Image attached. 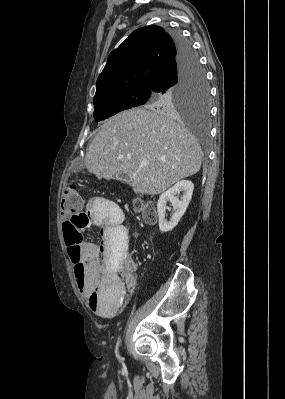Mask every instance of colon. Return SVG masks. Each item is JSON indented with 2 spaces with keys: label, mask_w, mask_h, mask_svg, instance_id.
Returning a JSON list of instances; mask_svg holds the SVG:
<instances>
[{
  "label": "colon",
  "mask_w": 285,
  "mask_h": 399,
  "mask_svg": "<svg viewBox=\"0 0 285 399\" xmlns=\"http://www.w3.org/2000/svg\"><path fill=\"white\" fill-rule=\"evenodd\" d=\"M134 207L143 213L146 222H153L156 219V210L146 205L143 201H135ZM61 210L66 214V219L62 223V231L72 263L73 283L76 289H79L82 285L84 273L83 266L77 263L81 253L79 242L83 238L82 229L87 225L88 218L82 210V201L76 184H71L65 188L61 198ZM119 227L118 258L122 259L127 255L128 246L124 223L120 221Z\"/></svg>",
  "instance_id": "1"
}]
</instances>
